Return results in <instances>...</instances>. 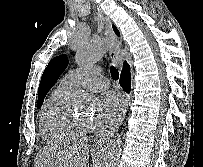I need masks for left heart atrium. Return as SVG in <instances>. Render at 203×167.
<instances>
[{"label":"left heart atrium","mask_w":203,"mask_h":167,"mask_svg":"<svg viewBox=\"0 0 203 167\" xmlns=\"http://www.w3.org/2000/svg\"><path fill=\"white\" fill-rule=\"evenodd\" d=\"M122 109L119 95L113 91L103 92L97 101V115L94 124L103 128L110 125L117 118Z\"/></svg>","instance_id":"39dd6f15"}]
</instances>
